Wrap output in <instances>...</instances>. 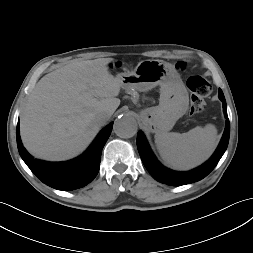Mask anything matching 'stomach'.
<instances>
[{"mask_svg":"<svg viewBox=\"0 0 253 253\" xmlns=\"http://www.w3.org/2000/svg\"><path fill=\"white\" fill-rule=\"evenodd\" d=\"M129 91H148L160 86L159 105L140 113L143 125L151 132L166 133L189 106L187 89L175 67L163 60H143L131 72L116 77Z\"/></svg>","mask_w":253,"mask_h":253,"instance_id":"1","label":"stomach"}]
</instances>
